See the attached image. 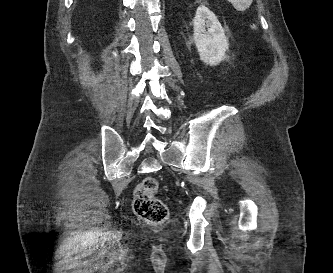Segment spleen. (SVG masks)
<instances>
[{
	"label": "spleen",
	"instance_id": "spleen-1",
	"mask_svg": "<svg viewBox=\"0 0 333 273\" xmlns=\"http://www.w3.org/2000/svg\"><path fill=\"white\" fill-rule=\"evenodd\" d=\"M253 0H228L238 11H244L250 7Z\"/></svg>",
	"mask_w": 333,
	"mask_h": 273
}]
</instances>
